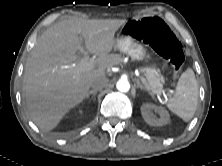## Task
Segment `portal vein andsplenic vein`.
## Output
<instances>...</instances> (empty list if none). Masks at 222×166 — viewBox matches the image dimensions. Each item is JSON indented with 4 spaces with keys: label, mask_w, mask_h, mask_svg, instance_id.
I'll list each match as a JSON object with an SVG mask.
<instances>
[{
    "label": "portal vein and splenic vein",
    "mask_w": 222,
    "mask_h": 166,
    "mask_svg": "<svg viewBox=\"0 0 222 166\" xmlns=\"http://www.w3.org/2000/svg\"><path fill=\"white\" fill-rule=\"evenodd\" d=\"M66 68L73 69L75 72L79 73L93 69L94 63L90 61L88 56H85L81 59L78 65L72 64L70 66H66ZM140 79L145 85L147 84V81L144 77H140Z\"/></svg>",
    "instance_id": "18ae733b"
}]
</instances>
